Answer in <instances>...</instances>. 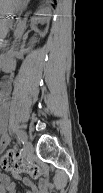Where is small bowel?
<instances>
[{"label":"small bowel","mask_w":103,"mask_h":193,"mask_svg":"<svg viewBox=\"0 0 103 193\" xmlns=\"http://www.w3.org/2000/svg\"><path fill=\"white\" fill-rule=\"evenodd\" d=\"M1 130L5 133L4 126H2ZM7 143L8 138L4 135L0 143V148L4 149ZM22 182L25 186L26 193H51L52 190V182L49 179H42L37 185H35L29 178H23ZM0 186L3 193H17L16 184L12 182L10 177L6 174H1Z\"/></svg>","instance_id":"small-bowel-1"}]
</instances>
